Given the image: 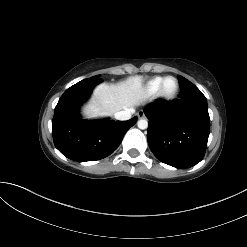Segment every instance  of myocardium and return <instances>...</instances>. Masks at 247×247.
Returning a JSON list of instances; mask_svg holds the SVG:
<instances>
[{"label":"myocardium","mask_w":247,"mask_h":247,"mask_svg":"<svg viewBox=\"0 0 247 247\" xmlns=\"http://www.w3.org/2000/svg\"><path fill=\"white\" fill-rule=\"evenodd\" d=\"M169 79H172L175 81V88L172 92L170 93H167L165 91V84L166 82L169 80ZM178 91H179V81L177 80V78L173 77V76H168L166 78H164L161 86H160V89L158 91V95L160 98L162 99H165V100H172L176 97V95L178 94Z\"/></svg>","instance_id":"f54148a6"}]
</instances>
